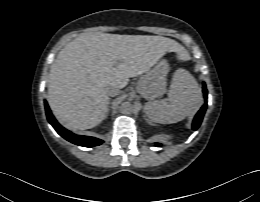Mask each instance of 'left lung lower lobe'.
<instances>
[{
    "instance_id": "1",
    "label": "left lung lower lobe",
    "mask_w": 260,
    "mask_h": 202,
    "mask_svg": "<svg viewBox=\"0 0 260 202\" xmlns=\"http://www.w3.org/2000/svg\"><path fill=\"white\" fill-rule=\"evenodd\" d=\"M203 93H204V98L205 100L207 99V89H206V85L205 83L203 84ZM207 108V104L205 103L202 108L199 110V112L196 114L194 120H193V124H192V129L196 130L198 129V127L200 126L203 116L205 114ZM156 146H161V144L156 143Z\"/></svg>"
}]
</instances>
